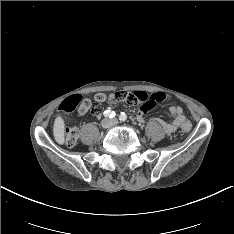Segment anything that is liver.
Wrapping results in <instances>:
<instances>
[{"label": "liver", "instance_id": "6515ba94", "mask_svg": "<svg viewBox=\"0 0 234 234\" xmlns=\"http://www.w3.org/2000/svg\"><path fill=\"white\" fill-rule=\"evenodd\" d=\"M65 124L61 116H58L54 121L53 134L56 142L58 144H64L65 135H64Z\"/></svg>", "mask_w": 234, "mask_h": 234}]
</instances>
